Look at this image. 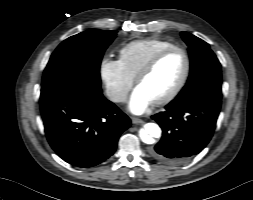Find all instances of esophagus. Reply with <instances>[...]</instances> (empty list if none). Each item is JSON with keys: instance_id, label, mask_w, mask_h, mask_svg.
<instances>
[{"instance_id": "34e87169", "label": "esophagus", "mask_w": 253, "mask_h": 200, "mask_svg": "<svg viewBox=\"0 0 253 200\" xmlns=\"http://www.w3.org/2000/svg\"><path fill=\"white\" fill-rule=\"evenodd\" d=\"M131 121L133 124H143L144 123V121L142 119L137 118V117H132Z\"/></svg>"}]
</instances>
